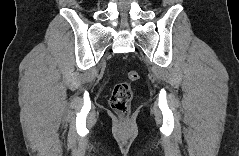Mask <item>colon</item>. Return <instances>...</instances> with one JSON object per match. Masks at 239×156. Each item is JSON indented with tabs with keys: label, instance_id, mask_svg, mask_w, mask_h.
I'll return each instance as SVG.
<instances>
[{
	"label": "colon",
	"instance_id": "colon-1",
	"mask_svg": "<svg viewBox=\"0 0 239 156\" xmlns=\"http://www.w3.org/2000/svg\"><path fill=\"white\" fill-rule=\"evenodd\" d=\"M127 79L128 81L120 82L114 86L110 97L112 109L121 116H125L129 113L133 98L131 83L139 79V73L131 70L127 73Z\"/></svg>",
	"mask_w": 239,
	"mask_h": 156
}]
</instances>
